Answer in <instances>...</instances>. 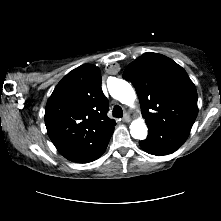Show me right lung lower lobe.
Masks as SVG:
<instances>
[{"instance_id":"98d812e1","label":"right lung lower lobe","mask_w":221,"mask_h":221,"mask_svg":"<svg viewBox=\"0 0 221 221\" xmlns=\"http://www.w3.org/2000/svg\"><path fill=\"white\" fill-rule=\"evenodd\" d=\"M111 136H112V134L109 135L108 137H106L103 141H101L96 146V148L93 151H91L85 157L80 159L78 162L79 163H88V162H91V161L96 160L97 158H99L104 153L105 149L107 148V145H108V142H109Z\"/></svg>"}]
</instances>
